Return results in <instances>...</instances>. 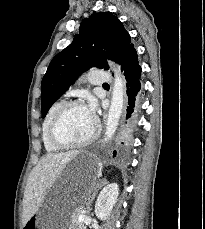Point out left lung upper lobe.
<instances>
[{
  "instance_id": "left-lung-upper-lobe-1",
  "label": "left lung upper lobe",
  "mask_w": 205,
  "mask_h": 229,
  "mask_svg": "<svg viewBox=\"0 0 205 229\" xmlns=\"http://www.w3.org/2000/svg\"><path fill=\"white\" fill-rule=\"evenodd\" d=\"M79 31L73 42L52 59L42 79V118L79 74L94 66L107 70L105 58L118 62L131 44L122 22L110 12L95 13L83 19Z\"/></svg>"
}]
</instances>
